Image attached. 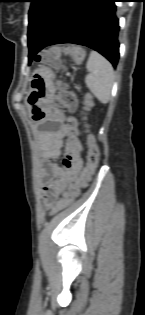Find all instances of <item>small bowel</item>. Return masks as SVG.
Instances as JSON below:
<instances>
[{"mask_svg": "<svg viewBox=\"0 0 145 315\" xmlns=\"http://www.w3.org/2000/svg\"><path fill=\"white\" fill-rule=\"evenodd\" d=\"M75 130V119L67 118L60 129L42 136L39 180L42 185V198L48 206L52 207L60 196L64 197L70 188L79 183L84 174L81 159L83 146ZM64 138H67V143L64 168H61L56 161L61 155ZM90 178L91 176L87 177V183Z\"/></svg>", "mask_w": 145, "mask_h": 315, "instance_id": "c3829d8e", "label": "small bowel"}]
</instances>
